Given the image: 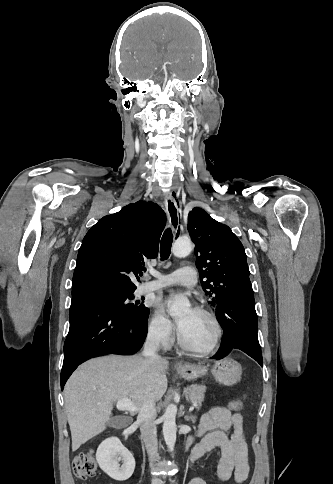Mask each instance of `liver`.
<instances>
[{"instance_id":"6515ba94","label":"liver","mask_w":333,"mask_h":484,"mask_svg":"<svg viewBox=\"0 0 333 484\" xmlns=\"http://www.w3.org/2000/svg\"><path fill=\"white\" fill-rule=\"evenodd\" d=\"M166 358L106 356L82 364L64 388L72 450L102 433L113 403L130 399L140 410L146 398L157 402L167 390Z\"/></svg>"}]
</instances>
